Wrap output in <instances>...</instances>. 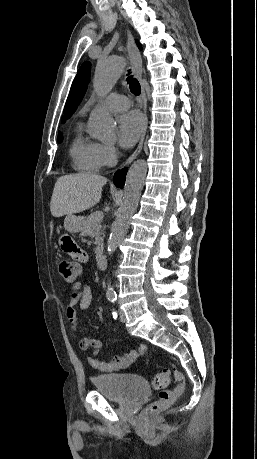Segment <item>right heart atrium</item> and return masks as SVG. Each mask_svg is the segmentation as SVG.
Returning <instances> with one entry per match:
<instances>
[{
    "mask_svg": "<svg viewBox=\"0 0 257 459\" xmlns=\"http://www.w3.org/2000/svg\"><path fill=\"white\" fill-rule=\"evenodd\" d=\"M99 158L102 166H111L117 158V150L112 144L99 145Z\"/></svg>",
    "mask_w": 257,
    "mask_h": 459,
    "instance_id": "obj_1",
    "label": "right heart atrium"
}]
</instances>
